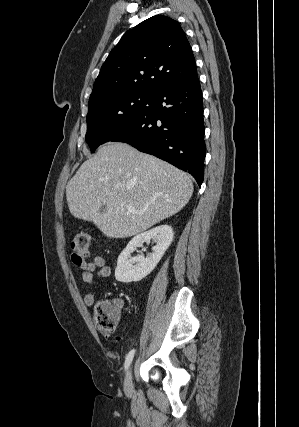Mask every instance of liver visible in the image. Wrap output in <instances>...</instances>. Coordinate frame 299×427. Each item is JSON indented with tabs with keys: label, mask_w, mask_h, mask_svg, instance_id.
Masks as SVG:
<instances>
[{
	"label": "liver",
	"mask_w": 299,
	"mask_h": 427,
	"mask_svg": "<svg viewBox=\"0 0 299 427\" xmlns=\"http://www.w3.org/2000/svg\"><path fill=\"white\" fill-rule=\"evenodd\" d=\"M192 193L185 172L122 142L102 146L66 186L70 213L93 222L109 238L137 235L173 216Z\"/></svg>",
	"instance_id": "liver-1"
}]
</instances>
